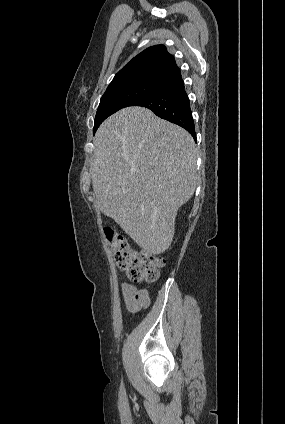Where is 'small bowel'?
Segmentation results:
<instances>
[{
  "instance_id": "obj_1",
  "label": "small bowel",
  "mask_w": 285,
  "mask_h": 424,
  "mask_svg": "<svg viewBox=\"0 0 285 424\" xmlns=\"http://www.w3.org/2000/svg\"><path fill=\"white\" fill-rule=\"evenodd\" d=\"M124 306L128 313L135 314L141 309H146L150 304L148 293L144 289H138L130 283L121 285Z\"/></svg>"
}]
</instances>
